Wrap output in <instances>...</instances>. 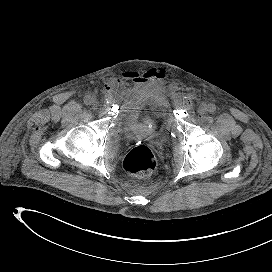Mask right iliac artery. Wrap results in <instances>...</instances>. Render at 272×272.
I'll return each instance as SVG.
<instances>
[{
	"label": "right iliac artery",
	"instance_id": "right-iliac-artery-1",
	"mask_svg": "<svg viewBox=\"0 0 272 272\" xmlns=\"http://www.w3.org/2000/svg\"><path fill=\"white\" fill-rule=\"evenodd\" d=\"M84 103H85L86 105H90V104H91V97L87 95V96L84 98Z\"/></svg>",
	"mask_w": 272,
	"mask_h": 272
}]
</instances>
